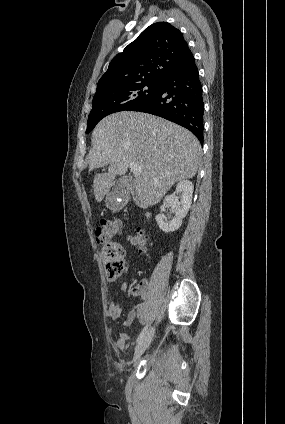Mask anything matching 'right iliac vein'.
I'll list each match as a JSON object with an SVG mask.
<instances>
[{
	"mask_svg": "<svg viewBox=\"0 0 285 424\" xmlns=\"http://www.w3.org/2000/svg\"><path fill=\"white\" fill-rule=\"evenodd\" d=\"M154 332H155L154 327L150 328V330L145 334L143 339L136 346L132 362L137 361L141 357V355L144 353V351L149 347L152 341V338L154 336Z\"/></svg>",
	"mask_w": 285,
	"mask_h": 424,
	"instance_id": "right-iliac-vein-1",
	"label": "right iliac vein"
}]
</instances>
